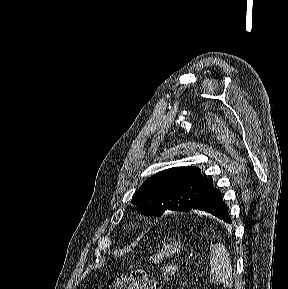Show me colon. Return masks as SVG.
Returning <instances> with one entry per match:
<instances>
[{"instance_id": "1", "label": "colon", "mask_w": 288, "mask_h": 289, "mask_svg": "<svg viewBox=\"0 0 288 289\" xmlns=\"http://www.w3.org/2000/svg\"><path fill=\"white\" fill-rule=\"evenodd\" d=\"M106 289H160V284L150 279L144 270L137 269L109 281Z\"/></svg>"}]
</instances>
